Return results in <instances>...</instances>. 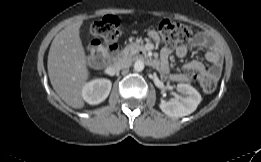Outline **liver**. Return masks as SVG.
Segmentation results:
<instances>
[{"label":"liver","instance_id":"6515ba94","mask_svg":"<svg viewBox=\"0 0 261 162\" xmlns=\"http://www.w3.org/2000/svg\"><path fill=\"white\" fill-rule=\"evenodd\" d=\"M82 20L67 25L53 39L47 61L51 85L59 97L75 109L84 107L82 89L89 79L79 29Z\"/></svg>","mask_w":261,"mask_h":162}]
</instances>
